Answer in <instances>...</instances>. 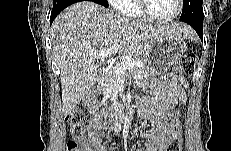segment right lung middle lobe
Masks as SVG:
<instances>
[{"label":"right lung middle lobe","instance_id":"dd1d6c3e","mask_svg":"<svg viewBox=\"0 0 231 151\" xmlns=\"http://www.w3.org/2000/svg\"><path fill=\"white\" fill-rule=\"evenodd\" d=\"M100 2H102L104 5H108V2H107V0H100Z\"/></svg>","mask_w":231,"mask_h":151}]
</instances>
